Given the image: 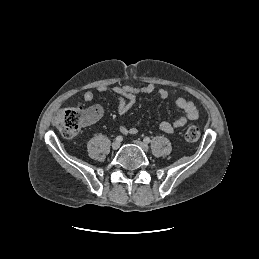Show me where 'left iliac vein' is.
<instances>
[{
    "label": "left iliac vein",
    "mask_w": 259,
    "mask_h": 259,
    "mask_svg": "<svg viewBox=\"0 0 259 259\" xmlns=\"http://www.w3.org/2000/svg\"><path fill=\"white\" fill-rule=\"evenodd\" d=\"M134 143L137 144L145 152L149 150V147L145 142H142L140 140H135Z\"/></svg>",
    "instance_id": "4c4485c4"
}]
</instances>
